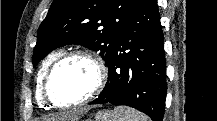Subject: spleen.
<instances>
[{"label":"spleen","instance_id":"3e777b00","mask_svg":"<svg viewBox=\"0 0 217 121\" xmlns=\"http://www.w3.org/2000/svg\"><path fill=\"white\" fill-rule=\"evenodd\" d=\"M96 121H146V117L130 107L117 106L96 116Z\"/></svg>","mask_w":217,"mask_h":121}]
</instances>
